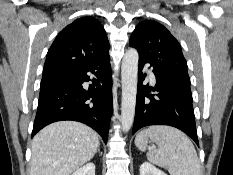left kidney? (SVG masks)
Here are the masks:
<instances>
[{"mask_svg": "<svg viewBox=\"0 0 233 175\" xmlns=\"http://www.w3.org/2000/svg\"><path fill=\"white\" fill-rule=\"evenodd\" d=\"M140 175H167L162 170L156 168L149 162H144L140 166Z\"/></svg>", "mask_w": 233, "mask_h": 175, "instance_id": "1", "label": "left kidney"}]
</instances>
